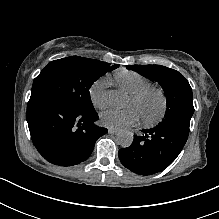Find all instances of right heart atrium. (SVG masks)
<instances>
[{"instance_id":"d8ad5b80","label":"right heart atrium","mask_w":219,"mask_h":219,"mask_svg":"<svg viewBox=\"0 0 219 219\" xmlns=\"http://www.w3.org/2000/svg\"><path fill=\"white\" fill-rule=\"evenodd\" d=\"M88 96L92 105L102 109L108 104L107 80L100 78L91 83Z\"/></svg>"}]
</instances>
